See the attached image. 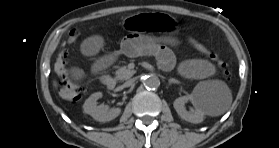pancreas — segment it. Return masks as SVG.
Segmentation results:
<instances>
[{
	"mask_svg": "<svg viewBox=\"0 0 279 148\" xmlns=\"http://www.w3.org/2000/svg\"><path fill=\"white\" fill-rule=\"evenodd\" d=\"M135 74L134 70L129 69L127 66L119 67L116 71V78L118 80H127Z\"/></svg>",
	"mask_w": 279,
	"mask_h": 148,
	"instance_id": "cf45deb5",
	"label": "pancreas"
}]
</instances>
